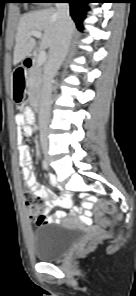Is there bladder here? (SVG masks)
<instances>
[{
  "mask_svg": "<svg viewBox=\"0 0 136 296\" xmlns=\"http://www.w3.org/2000/svg\"><path fill=\"white\" fill-rule=\"evenodd\" d=\"M80 240V231L61 224L41 225L32 232L31 243L37 260H59Z\"/></svg>",
  "mask_w": 136,
  "mask_h": 296,
  "instance_id": "31cf9c89",
  "label": "bladder"
}]
</instances>
